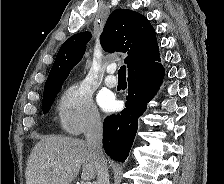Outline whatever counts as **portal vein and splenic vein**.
Wrapping results in <instances>:
<instances>
[{
	"mask_svg": "<svg viewBox=\"0 0 224 184\" xmlns=\"http://www.w3.org/2000/svg\"><path fill=\"white\" fill-rule=\"evenodd\" d=\"M84 184H92L91 182H85Z\"/></svg>",
	"mask_w": 224,
	"mask_h": 184,
	"instance_id": "portal-vein-and-splenic-vein-1",
	"label": "portal vein and splenic vein"
}]
</instances>
